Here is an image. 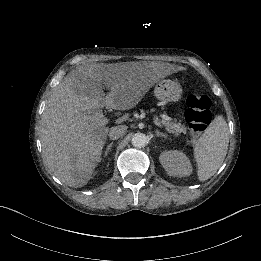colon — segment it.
Masks as SVG:
<instances>
[{
    "instance_id": "5ec220e1",
    "label": "colon",
    "mask_w": 261,
    "mask_h": 261,
    "mask_svg": "<svg viewBox=\"0 0 261 261\" xmlns=\"http://www.w3.org/2000/svg\"><path fill=\"white\" fill-rule=\"evenodd\" d=\"M185 120L191 135L201 134L211 121V99L197 90H193L186 101Z\"/></svg>"
}]
</instances>
